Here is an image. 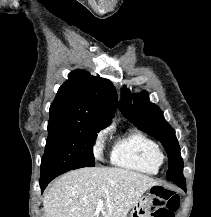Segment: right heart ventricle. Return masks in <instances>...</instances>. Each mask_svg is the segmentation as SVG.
I'll return each mask as SVG.
<instances>
[{
    "mask_svg": "<svg viewBox=\"0 0 211 217\" xmlns=\"http://www.w3.org/2000/svg\"><path fill=\"white\" fill-rule=\"evenodd\" d=\"M158 149V144L148 135L132 130L115 142L110 159L118 167L153 175L159 169L154 159Z\"/></svg>",
    "mask_w": 211,
    "mask_h": 217,
    "instance_id": "obj_1",
    "label": "right heart ventricle"
}]
</instances>
